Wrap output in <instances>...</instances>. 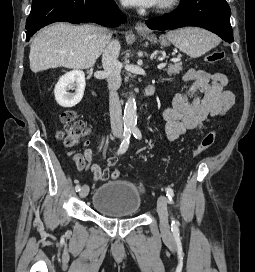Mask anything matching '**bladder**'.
I'll list each match as a JSON object with an SVG mask.
<instances>
[{
	"label": "bladder",
	"instance_id": "obj_1",
	"mask_svg": "<svg viewBox=\"0 0 255 272\" xmlns=\"http://www.w3.org/2000/svg\"><path fill=\"white\" fill-rule=\"evenodd\" d=\"M142 205L137 186L127 180L108 181L99 186L92 196L93 208L104 216H135Z\"/></svg>",
	"mask_w": 255,
	"mask_h": 272
}]
</instances>
